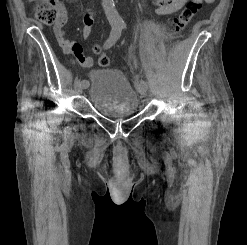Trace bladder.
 <instances>
[{
  "label": "bladder",
  "instance_id": "bladder-1",
  "mask_svg": "<svg viewBox=\"0 0 247 245\" xmlns=\"http://www.w3.org/2000/svg\"><path fill=\"white\" fill-rule=\"evenodd\" d=\"M89 77V99L99 113L108 117H121L138 111V93L121 71L96 68Z\"/></svg>",
  "mask_w": 247,
  "mask_h": 245
}]
</instances>
